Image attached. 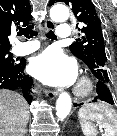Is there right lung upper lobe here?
<instances>
[{"mask_svg": "<svg viewBox=\"0 0 117 136\" xmlns=\"http://www.w3.org/2000/svg\"><path fill=\"white\" fill-rule=\"evenodd\" d=\"M31 18L28 0H0V52L10 50L11 31L20 28V24L26 26Z\"/></svg>", "mask_w": 117, "mask_h": 136, "instance_id": "1", "label": "right lung upper lobe"}]
</instances>
